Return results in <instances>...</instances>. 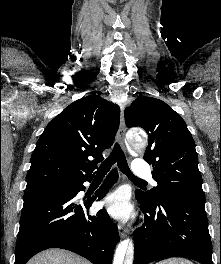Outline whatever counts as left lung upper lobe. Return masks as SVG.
Listing matches in <instances>:
<instances>
[{"label": "left lung upper lobe", "instance_id": "5c2ea615", "mask_svg": "<svg viewBox=\"0 0 221 264\" xmlns=\"http://www.w3.org/2000/svg\"><path fill=\"white\" fill-rule=\"evenodd\" d=\"M124 114L127 127H141L149 136L144 160L153 165L158 183L136 194L146 200L173 196L205 202L195 143L184 120L165 102L144 96L136 98Z\"/></svg>", "mask_w": 221, "mask_h": 264}]
</instances>
